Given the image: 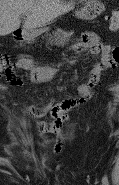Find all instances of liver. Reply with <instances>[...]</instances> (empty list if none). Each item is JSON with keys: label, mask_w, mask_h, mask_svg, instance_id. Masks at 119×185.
Segmentation results:
<instances>
[{"label": "liver", "mask_w": 119, "mask_h": 185, "mask_svg": "<svg viewBox=\"0 0 119 185\" xmlns=\"http://www.w3.org/2000/svg\"><path fill=\"white\" fill-rule=\"evenodd\" d=\"M72 8L60 0H0V36L18 30L23 14H27L23 28L31 30L45 26Z\"/></svg>", "instance_id": "1"}]
</instances>
